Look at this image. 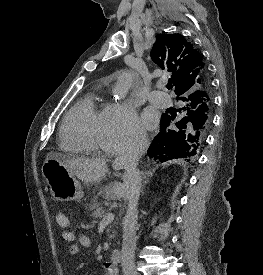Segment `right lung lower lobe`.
I'll use <instances>...</instances> for the list:
<instances>
[{
    "instance_id": "right-lung-lower-lobe-1",
    "label": "right lung lower lobe",
    "mask_w": 263,
    "mask_h": 275,
    "mask_svg": "<svg viewBox=\"0 0 263 275\" xmlns=\"http://www.w3.org/2000/svg\"><path fill=\"white\" fill-rule=\"evenodd\" d=\"M204 75L209 81L207 72ZM206 93L207 90L201 88L189 95L177 97V100L184 103L179 109L182 116L174 123L175 127L170 128L176 117L162 115L160 132L148 149L151 158L164 162L173 158L190 157L197 153L211 123L204 113Z\"/></svg>"
}]
</instances>
